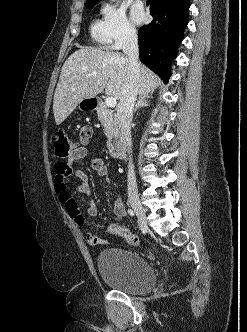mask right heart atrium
Listing matches in <instances>:
<instances>
[{"instance_id": "1", "label": "right heart atrium", "mask_w": 247, "mask_h": 332, "mask_svg": "<svg viewBox=\"0 0 247 332\" xmlns=\"http://www.w3.org/2000/svg\"><path fill=\"white\" fill-rule=\"evenodd\" d=\"M103 20L113 48L120 49L136 39L137 31L121 6L106 4L103 8Z\"/></svg>"}]
</instances>
